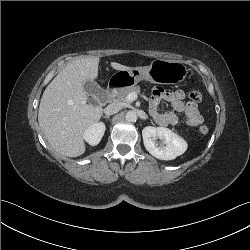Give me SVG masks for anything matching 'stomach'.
Instances as JSON below:
<instances>
[{
  "instance_id": "1",
  "label": "stomach",
  "mask_w": 250,
  "mask_h": 250,
  "mask_svg": "<svg viewBox=\"0 0 250 250\" xmlns=\"http://www.w3.org/2000/svg\"><path fill=\"white\" fill-rule=\"evenodd\" d=\"M187 73V67L181 62L156 59L149 66L119 70L114 76L120 80L121 86L135 85L142 80L170 85L183 82Z\"/></svg>"
}]
</instances>
